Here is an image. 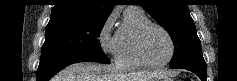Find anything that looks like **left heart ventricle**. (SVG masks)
Returning a JSON list of instances; mask_svg holds the SVG:
<instances>
[{
	"label": "left heart ventricle",
	"mask_w": 237,
	"mask_h": 81,
	"mask_svg": "<svg viewBox=\"0 0 237 81\" xmlns=\"http://www.w3.org/2000/svg\"><path fill=\"white\" fill-rule=\"evenodd\" d=\"M143 50L151 62L165 61L170 55V42L166 35L157 28H150L143 40Z\"/></svg>",
	"instance_id": "1"
}]
</instances>
